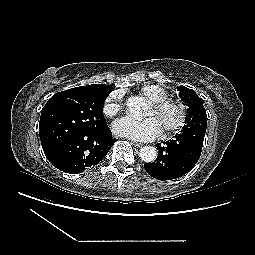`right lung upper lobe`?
<instances>
[{
	"instance_id": "obj_1",
	"label": "right lung upper lobe",
	"mask_w": 255,
	"mask_h": 255,
	"mask_svg": "<svg viewBox=\"0 0 255 255\" xmlns=\"http://www.w3.org/2000/svg\"><path fill=\"white\" fill-rule=\"evenodd\" d=\"M73 90H92V91H101V92H112L113 88L105 84H92L88 86H80L72 88Z\"/></svg>"
}]
</instances>
